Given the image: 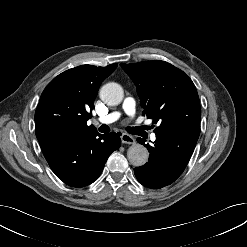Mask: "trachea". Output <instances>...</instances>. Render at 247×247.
<instances>
[{"mask_svg":"<svg viewBox=\"0 0 247 247\" xmlns=\"http://www.w3.org/2000/svg\"><path fill=\"white\" fill-rule=\"evenodd\" d=\"M99 131H100L101 133H108V132H110V128H109V126H107L106 124H103V125H101V126L99 127Z\"/></svg>","mask_w":247,"mask_h":247,"instance_id":"1","label":"trachea"}]
</instances>
